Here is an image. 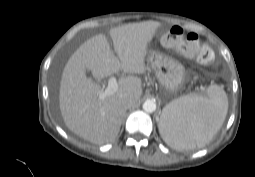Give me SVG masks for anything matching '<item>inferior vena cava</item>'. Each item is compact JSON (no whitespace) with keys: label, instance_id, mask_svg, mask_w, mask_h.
<instances>
[{"label":"inferior vena cava","instance_id":"inferior-vena-cava-1","mask_svg":"<svg viewBox=\"0 0 255 177\" xmlns=\"http://www.w3.org/2000/svg\"><path fill=\"white\" fill-rule=\"evenodd\" d=\"M135 103L136 100L132 97H128L123 100V106L125 109L131 108Z\"/></svg>","mask_w":255,"mask_h":177}]
</instances>
